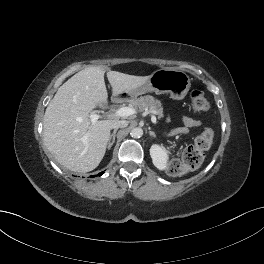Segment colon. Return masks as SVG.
I'll return each mask as SVG.
<instances>
[{
  "label": "colon",
  "instance_id": "obj_1",
  "mask_svg": "<svg viewBox=\"0 0 264 264\" xmlns=\"http://www.w3.org/2000/svg\"><path fill=\"white\" fill-rule=\"evenodd\" d=\"M210 103L206 95L200 90H194L190 95V109L193 113L199 114L208 111ZM214 137V132L210 128H206L195 139L193 145L185 149L182 155V161L172 160L169 166L171 175H180L188 169L195 167L205 150H207Z\"/></svg>",
  "mask_w": 264,
  "mask_h": 264
}]
</instances>
